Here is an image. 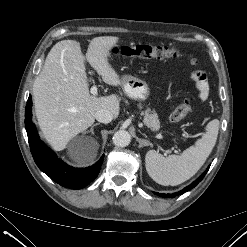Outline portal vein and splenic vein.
<instances>
[{
    "instance_id": "obj_1",
    "label": "portal vein and splenic vein",
    "mask_w": 247,
    "mask_h": 247,
    "mask_svg": "<svg viewBox=\"0 0 247 247\" xmlns=\"http://www.w3.org/2000/svg\"><path fill=\"white\" fill-rule=\"evenodd\" d=\"M90 92H91V94L94 95V96L97 95V93H98V92H97V87H96V86H92L91 89H90Z\"/></svg>"
}]
</instances>
